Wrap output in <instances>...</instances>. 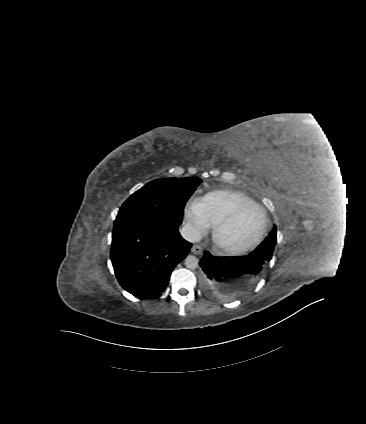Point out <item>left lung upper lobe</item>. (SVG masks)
I'll return each instance as SVG.
<instances>
[{
    "label": "left lung upper lobe",
    "mask_w": 366,
    "mask_h": 424,
    "mask_svg": "<svg viewBox=\"0 0 366 424\" xmlns=\"http://www.w3.org/2000/svg\"><path fill=\"white\" fill-rule=\"evenodd\" d=\"M276 244V226L272 232L265 238V240L253 251V255L261 256L265 261L269 262L273 255V250ZM262 274L250 277L247 279L248 283H254L259 280Z\"/></svg>",
    "instance_id": "obj_1"
}]
</instances>
